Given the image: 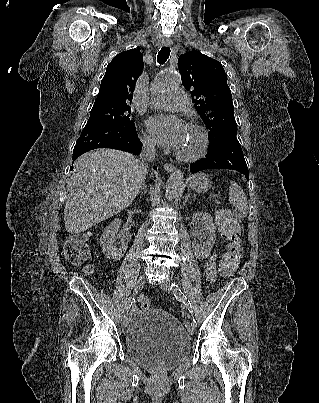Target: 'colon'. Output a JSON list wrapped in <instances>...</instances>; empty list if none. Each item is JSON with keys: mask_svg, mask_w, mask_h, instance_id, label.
I'll list each match as a JSON object with an SVG mask.
<instances>
[{"mask_svg": "<svg viewBox=\"0 0 319 403\" xmlns=\"http://www.w3.org/2000/svg\"><path fill=\"white\" fill-rule=\"evenodd\" d=\"M219 228L227 241V249L220 259L219 270L222 275L232 274L242 260L241 227L232 215L223 213L219 219ZM63 252L71 265L84 266L87 272L92 271L91 266L87 265L89 249L85 234H76L67 239ZM138 302L141 309H148L151 306V301L145 296H141Z\"/></svg>", "mask_w": 319, "mask_h": 403, "instance_id": "5ec220e1", "label": "colon"}]
</instances>
